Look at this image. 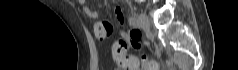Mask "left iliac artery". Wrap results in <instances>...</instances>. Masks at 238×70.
I'll list each match as a JSON object with an SVG mask.
<instances>
[{
    "label": "left iliac artery",
    "instance_id": "44dca946",
    "mask_svg": "<svg viewBox=\"0 0 238 70\" xmlns=\"http://www.w3.org/2000/svg\"><path fill=\"white\" fill-rule=\"evenodd\" d=\"M129 24H130L131 26H137V20H136V18L133 17V16H130V17H129Z\"/></svg>",
    "mask_w": 238,
    "mask_h": 70
}]
</instances>
